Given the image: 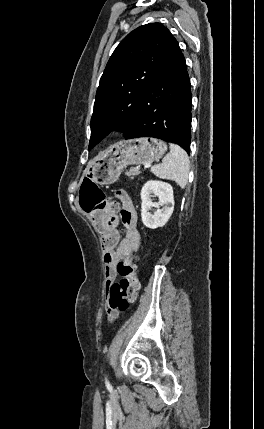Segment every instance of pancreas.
<instances>
[{"instance_id":"1","label":"pancreas","mask_w":264,"mask_h":429,"mask_svg":"<svg viewBox=\"0 0 264 429\" xmlns=\"http://www.w3.org/2000/svg\"><path fill=\"white\" fill-rule=\"evenodd\" d=\"M140 174V168L139 167H132L128 172H126L127 176H130L133 178L134 176H137Z\"/></svg>"}]
</instances>
